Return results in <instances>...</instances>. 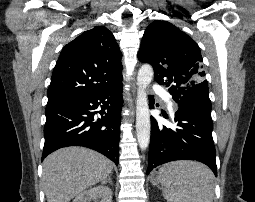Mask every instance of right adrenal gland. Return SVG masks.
Here are the masks:
<instances>
[{
	"instance_id": "right-adrenal-gland-1",
	"label": "right adrenal gland",
	"mask_w": 255,
	"mask_h": 202,
	"mask_svg": "<svg viewBox=\"0 0 255 202\" xmlns=\"http://www.w3.org/2000/svg\"><path fill=\"white\" fill-rule=\"evenodd\" d=\"M107 183H109V185H111V186L113 185L111 175L102 182V184H104V185Z\"/></svg>"
}]
</instances>
